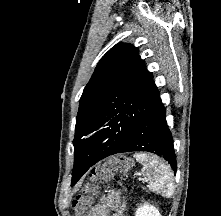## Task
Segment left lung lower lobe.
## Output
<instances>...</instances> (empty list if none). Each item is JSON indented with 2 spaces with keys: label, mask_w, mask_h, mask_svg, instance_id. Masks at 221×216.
I'll list each match as a JSON object with an SVG mask.
<instances>
[{
  "label": "left lung lower lobe",
  "mask_w": 221,
  "mask_h": 216,
  "mask_svg": "<svg viewBox=\"0 0 221 216\" xmlns=\"http://www.w3.org/2000/svg\"><path fill=\"white\" fill-rule=\"evenodd\" d=\"M132 151H147L157 154L167 160L174 171L177 169L173 139L165 119V108L158 90L148 114L125 145L114 149L103 143L91 146L82 152L80 156L81 169L72 179L71 185L73 186L98 161L116 153Z\"/></svg>",
  "instance_id": "left-lung-lower-lobe-1"
}]
</instances>
